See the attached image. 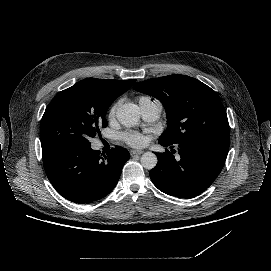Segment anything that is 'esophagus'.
I'll use <instances>...</instances> for the list:
<instances>
[{"mask_svg":"<svg viewBox=\"0 0 271 271\" xmlns=\"http://www.w3.org/2000/svg\"><path fill=\"white\" fill-rule=\"evenodd\" d=\"M143 152L144 151H142V150H131L130 154L131 155H141V154H143Z\"/></svg>","mask_w":271,"mask_h":271,"instance_id":"obj_1","label":"esophagus"}]
</instances>
